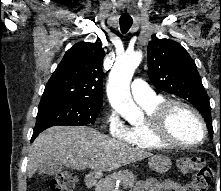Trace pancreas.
I'll return each instance as SVG.
<instances>
[{
  "label": "pancreas",
  "instance_id": "1",
  "mask_svg": "<svg viewBox=\"0 0 221 191\" xmlns=\"http://www.w3.org/2000/svg\"><path fill=\"white\" fill-rule=\"evenodd\" d=\"M116 180H121L123 188L127 189L133 187L136 176L132 172L128 171L113 173L98 182L95 186V191H110L115 187Z\"/></svg>",
  "mask_w": 221,
  "mask_h": 191
}]
</instances>
